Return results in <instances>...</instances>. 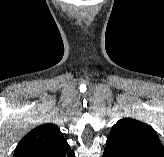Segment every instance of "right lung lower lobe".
<instances>
[{"instance_id": "obj_1", "label": "right lung lower lobe", "mask_w": 164, "mask_h": 157, "mask_svg": "<svg viewBox=\"0 0 164 157\" xmlns=\"http://www.w3.org/2000/svg\"><path fill=\"white\" fill-rule=\"evenodd\" d=\"M39 157H75V154L70 149V146L66 141L60 143L51 151L39 156Z\"/></svg>"}]
</instances>
